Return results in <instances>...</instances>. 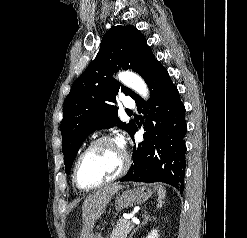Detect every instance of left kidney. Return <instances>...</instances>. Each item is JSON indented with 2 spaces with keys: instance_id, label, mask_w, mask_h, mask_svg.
<instances>
[{
  "instance_id": "obj_1",
  "label": "left kidney",
  "mask_w": 247,
  "mask_h": 238,
  "mask_svg": "<svg viewBox=\"0 0 247 238\" xmlns=\"http://www.w3.org/2000/svg\"><path fill=\"white\" fill-rule=\"evenodd\" d=\"M146 238H159L158 231L156 229H153Z\"/></svg>"
}]
</instances>
